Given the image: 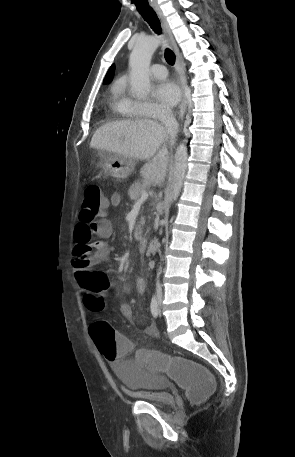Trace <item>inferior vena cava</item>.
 I'll return each instance as SVG.
<instances>
[{
  "mask_svg": "<svg viewBox=\"0 0 295 457\" xmlns=\"http://www.w3.org/2000/svg\"><path fill=\"white\" fill-rule=\"evenodd\" d=\"M160 120L163 123V125L165 126L167 132L172 137H175L177 134V130H178V123H177L171 109H168V108L162 109V111L160 113ZM156 294H157L158 299L162 298V288L159 283V280H157V283H156Z\"/></svg>",
  "mask_w": 295,
  "mask_h": 457,
  "instance_id": "obj_1",
  "label": "inferior vena cava"
}]
</instances>
